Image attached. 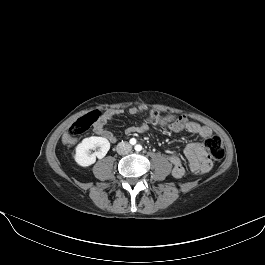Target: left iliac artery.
Here are the masks:
<instances>
[{
	"label": "left iliac artery",
	"mask_w": 265,
	"mask_h": 265,
	"mask_svg": "<svg viewBox=\"0 0 265 265\" xmlns=\"http://www.w3.org/2000/svg\"><path fill=\"white\" fill-rule=\"evenodd\" d=\"M135 150H136V151H141V150H142V146L139 145V144L136 145V146H135Z\"/></svg>",
	"instance_id": "obj_1"
}]
</instances>
